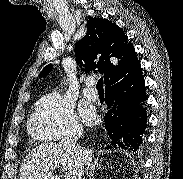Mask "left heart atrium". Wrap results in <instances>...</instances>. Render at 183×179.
Returning a JSON list of instances; mask_svg holds the SVG:
<instances>
[{
  "instance_id": "left-heart-atrium-1",
  "label": "left heart atrium",
  "mask_w": 183,
  "mask_h": 179,
  "mask_svg": "<svg viewBox=\"0 0 183 179\" xmlns=\"http://www.w3.org/2000/svg\"><path fill=\"white\" fill-rule=\"evenodd\" d=\"M80 113L83 120L88 124L92 123L96 118L95 111L90 105L81 106Z\"/></svg>"
}]
</instances>
